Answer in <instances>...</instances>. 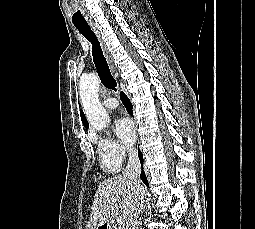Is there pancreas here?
<instances>
[{
	"label": "pancreas",
	"mask_w": 255,
	"mask_h": 229,
	"mask_svg": "<svg viewBox=\"0 0 255 229\" xmlns=\"http://www.w3.org/2000/svg\"><path fill=\"white\" fill-rule=\"evenodd\" d=\"M114 229H122L121 227H115Z\"/></svg>",
	"instance_id": "cf45deb5"
}]
</instances>
